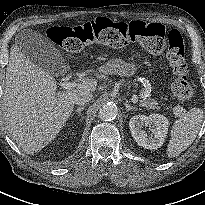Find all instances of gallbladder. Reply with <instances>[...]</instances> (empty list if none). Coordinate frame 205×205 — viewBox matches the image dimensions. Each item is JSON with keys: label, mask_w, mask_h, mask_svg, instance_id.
Here are the masks:
<instances>
[{"label": "gallbladder", "mask_w": 205, "mask_h": 205, "mask_svg": "<svg viewBox=\"0 0 205 205\" xmlns=\"http://www.w3.org/2000/svg\"><path fill=\"white\" fill-rule=\"evenodd\" d=\"M16 44L25 56L40 69L52 73L62 70L65 61L58 49L42 34L24 29L16 36Z\"/></svg>", "instance_id": "1"}]
</instances>
